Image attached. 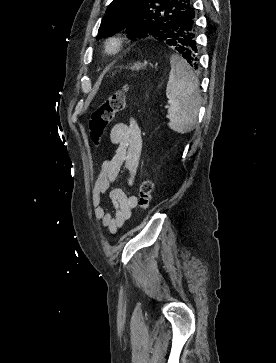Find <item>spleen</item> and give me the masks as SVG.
<instances>
[{
  "instance_id": "obj_1",
  "label": "spleen",
  "mask_w": 276,
  "mask_h": 363,
  "mask_svg": "<svg viewBox=\"0 0 276 363\" xmlns=\"http://www.w3.org/2000/svg\"><path fill=\"white\" fill-rule=\"evenodd\" d=\"M170 74L166 87L169 99L168 126L185 134L194 129L201 105L199 80L189 64L181 56L170 57Z\"/></svg>"
}]
</instances>
